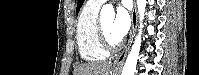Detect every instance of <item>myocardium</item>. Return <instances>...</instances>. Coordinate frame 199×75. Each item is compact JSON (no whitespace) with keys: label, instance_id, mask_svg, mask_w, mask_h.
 <instances>
[{"label":"myocardium","instance_id":"1","mask_svg":"<svg viewBox=\"0 0 199 75\" xmlns=\"http://www.w3.org/2000/svg\"><path fill=\"white\" fill-rule=\"evenodd\" d=\"M97 34H98V38H99V41L102 45V47L108 52V51H116L121 43L120 42H116V43H112L108 40V38L106 37V34L103 30V27H102V22L101 21H98V24H97Z\"/></svg>","mask_w":199,"mask_h":75}]
</instances>
